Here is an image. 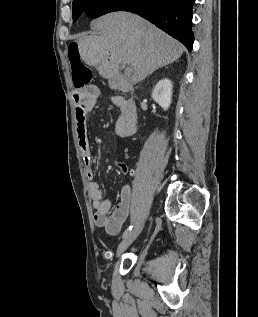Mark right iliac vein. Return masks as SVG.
<instances>
[{
    "label": "right iliac vein",
    "instance_id": "1",
    "mask_svg": "<svg viewBox=\"0 0 258 317\" xmlns=\"http://www.w3.org/2000/svg\"><path fill=\"white\" fill-rule=\"evenodd\" d=\"M143 224V222L141 224H137V227L131 229L130 233L126 235V238L123 239L117 246L116 255L119 256L121 254H124V251L128 249V246L132 244L135 237L139 236V232H141Z\"/></svg>",
    "mask_w": 258,
    "mask_h": 317
}]
</instances>
